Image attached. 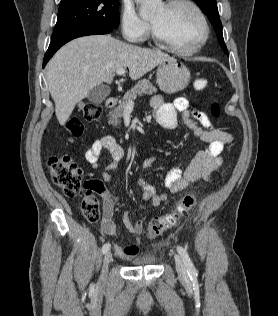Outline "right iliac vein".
Segmentation results:
<instances>
[{
    "label": "right iliac vein",
    "instance_id": "63e3f726",
    "mask_svg": "<svg viewBox=\"0 0 278 316\" xmlns=\"http://www.w3.org/2000/svg\"><path fill=\"white\" fill-rule=\"evenodd\" d=\"M111 260H112V254L110 251H108L103 258L102 273H101V279H100L102 283L105 282L106 280L108 266Z\"/></svg>",
    "mask_w": 278,
    "mask_h": 316
}]
</instances>
